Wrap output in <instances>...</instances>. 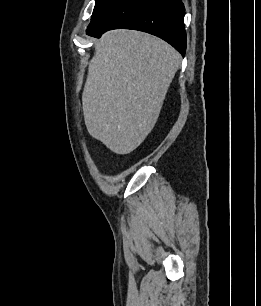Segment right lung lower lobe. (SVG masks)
Here are the masks:
<instances>
[{
    "mask_svg": "<svg viewBox=\"0 0 261 306\" xmlns=\"http://www.w3.org/2000/svg\"><path fill=\"white\" fill-rule=\"evenodd\" d=\"M185 8L181 0H112L88 26L100 37L111 29H133L158 36L183 56L186 51Z\"/></svg>",
    "mask_w": 261,
    "mask_h": 306,
    "instance_id": "right-lung-lower-lobe-1",
    "label": "right lung lower lobe"
}]
</instances>
